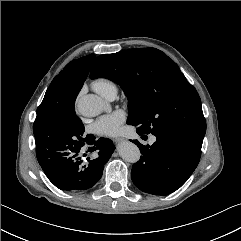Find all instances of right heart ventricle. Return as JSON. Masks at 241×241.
<instances>
[{"instance_id":"1","label":"right heart ventricle","mask_w":241,"mask_h":241,"mask_svg":"<svg viewBox=\"0 0 241 241\" xmlns=\"http://www.w3.org/2000/svg\"><path fill=\"white\" fill-rule=\"evenodd\" d=\"M92 87L104 97H107L112 91L117 92L116 85L111 80L104 77L93 80Z\"/></svg>"}]
</instances>
